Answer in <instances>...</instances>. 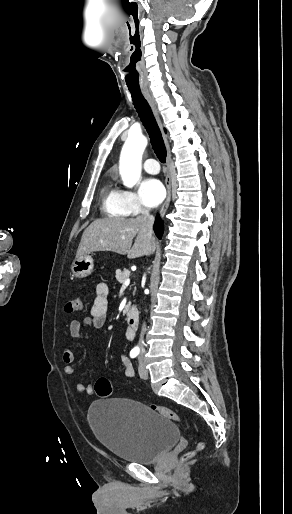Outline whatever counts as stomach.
<instances>
[{
  "mask_svg": "<svg viewBox=\"0 0 292 514\" xmlns=\"http://www.w3.org/2000/svg\"><path fill=\"white\" fill-rule=\"evenodd\" d=\"M94 268V260L89 254L76 256L71 266V272L75 278H86L92 274Z\"/></svg>",
  "mask_w": 292,
  "mask_h": 514,
  "instance_id": "1",
  "label": "stomach"
}]
</instances>
